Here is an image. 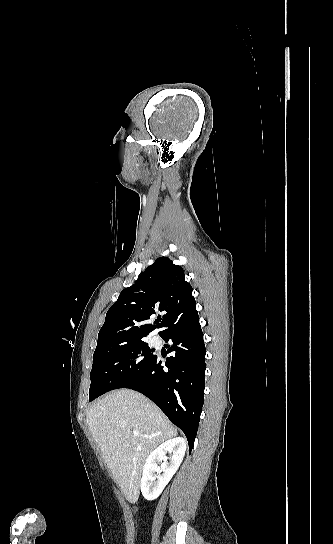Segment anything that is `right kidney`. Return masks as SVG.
<instances>
[{
    "label": "right kidney",
    "instance_id": "right-kidney-1",
    "mask_svg": "<svg viewBox=\"0 0 333 544\" xmlns=\"http://www.w3.org/2000/svg\"><path fill=\"white\" fill-rule=\"evenodd\" d=\"M186 451L185 440L173 438L159 445L147 458L141 478V492L146 500H154L162 493L178 470ZM171 456L168 458L166 454ZM167 459L170 461L167 462ZM158 466L159 462H162ZM157 473V475H154Z\"/></svg>",
    "mask_w": 333,
    "mask_h": 544
}]
</instances>
